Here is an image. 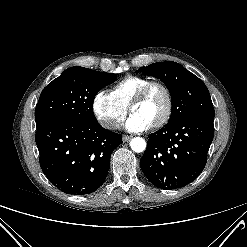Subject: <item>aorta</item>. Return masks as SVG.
I'll use <instances>...</instances> for the list:
<instances>
[{"instance_id": "obj_1", "label": "aorta", "mask_w": 247, "mask_h": 247, "mask_svg": "<svg viewBox=\"0 0 247 247\" xmlns=\"http://www.w3.org/2000/svg\"><path fill=\"white\" fill-rule=\"evenodd\" d=\"M130 147L134 152H143L146 149V141L141 137H135L130 141Z\"/></svg>"}]
</instances>
